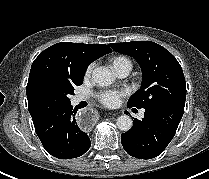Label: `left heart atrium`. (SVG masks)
Returning a JSON list of instances; mask_svg holds the SVG:
<instances>
[{
    "label": "left heart atrium",
    "instance_id": "left-heart-atrium-1",
    "mask_svg": "<svg viewBox=\"0 0 209 179\" xmlns=\"http://www.w3.org/2000/svg\"><path fill=\"white\" fill-rule=\"evenodd\" d=\"M125 91L119 90H106L97 94L98 100L107 107H115L118 105L122 96L125 95Z\"/></svg>",
    "mask_w": 209,
    "mask_h": 179
}]
</instances>
